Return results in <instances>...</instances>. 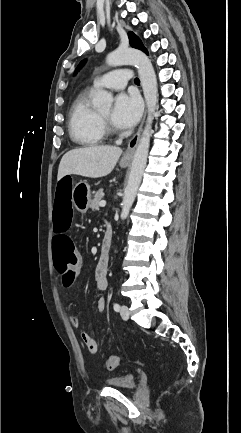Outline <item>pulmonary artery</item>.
Instances as JSON below:
<instances>
[{"instance_id":"obj_1","label":"pulmonary artery","mask_w":241,"mask_h":433,"mask_svg":"<svg viewBox=\"0 0 241 433\" xmlns=\"http://www.w3.org/2000/svg\"><path fill=\"white\" fill-rule=\"evenodd\" d=\"M132 79V75L126 68L111 71L94 79L92 88L106 87L112 90H121Z\"/></svg>"}]
</instances>
